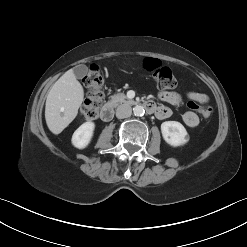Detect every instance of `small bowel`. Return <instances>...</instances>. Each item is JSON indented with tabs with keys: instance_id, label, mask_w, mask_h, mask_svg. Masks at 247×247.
Segmentation results:
<instances>
[{
	"instance_id": "obj_1",
	"label": "small bowel",
	"mask_w": 247,
	"mask_h": 247,
	"mask_svg": "<svg viewBox=\"0 0 247 247\" xmlns=\"http://www.w3.org/2000/svg\"><path fill=\"white\" fill-rule=\"evenodd\" d=\"M160 100L169 103L171 105H179L182 102L181 96L176 92L161 91L158 94ZM187 98L189 99L188 105L191 103L203 104L208 102V97L204 93L190 91L187 93ZM157 118L166 119L172 115V110L167 106H158L154 112ZM182 120L184 124L189 128H195L199 124V117L193 111H186Z\"/></svg>"
}]
</instances>
